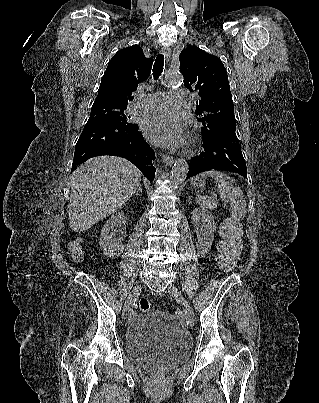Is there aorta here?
<instances>
[{"instance_id":"1","label":"aorta","mask_w":319,"mask_h":403,"mask_svg":"<svg viewBox=\"0 0 319 403\" xmlns=\"http://www.w3.org/2000/svg\"><path fill=\"white\" fill-rule=\"evenodd\" d=\"M163 82L166 86L174 87L180 86L182 84V79L177 74L168 73L165 75ZM189 166L185 159H178L171 171V185L177 187L181 185L188 174Z\"/></svg>"}]
</instances>
